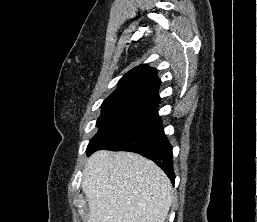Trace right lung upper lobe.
I'll use <instances>...</instances> for the list:
<instances>
[{
    "label": "right lung upper lobe",
    "mask_w": 257,
    "mask_h": 222,
    "mask_svg": "<svg viewBox=\"0 0 257 222\" xmlns=\"http://www.w3.org/2000/svg\"><path fill=\"white\" fill-rule=\"evenodd\" d=\"M160 84L157 70L143 64L127 72L120 79L118 88L104 102L142 100L158 105Z\"/></svg>",
    "instance_id": "cb5924a9"
}]
</instances>
